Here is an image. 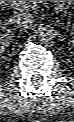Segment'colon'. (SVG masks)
Here are the masks:
<instances>
[{"mask_svg": "<svg viewBox=\"0 0 74 122\" xmlns=\"http://www.w3.org/2000/svg\"><path fill=\"white\" fill-rule=\"evenodd\" d=\"M59 2L62 4V6H65L68 1H59Z\"/></svg>", "mask_w": 74, "mask_h": 122, "instance_id": "colon-1", "label": "colon"}]
</instances>
